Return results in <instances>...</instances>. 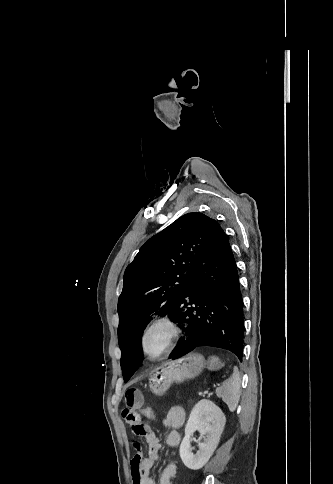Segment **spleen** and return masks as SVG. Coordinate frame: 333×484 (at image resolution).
Returning <instances> with one entry per match:
<instances>
[{
	"mask_svg": "<svg viewBox=\"0 0 333 484\" xmlns=\"http://www.w3.org/2000/svg\"><path fill=\"white\" fill-rule=\"evenodd\" d=\"M240 392V375L235 367L232 376L216 389V394L226 403L229 411L234 412L239 402Z\"/></svg>",
	"mask_w": 333,
	"mask_h": 484,
	"instance_id": "spleen-1",
	"label": "spleen"
}]
</instances>
